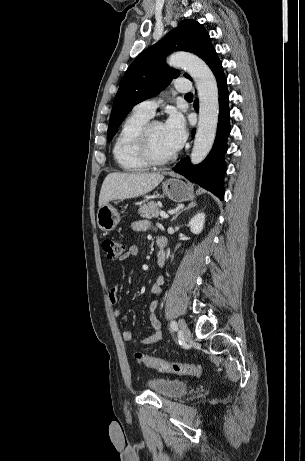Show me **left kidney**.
<instances>
[{
	"mask_svg": "<svg viewBox=\"0 0 305 461\" xmlns=\"http://www.w3.org/2000/svg\"><path fill=\"white\" fill-rule=\"evenodd\" d=\"M205 223V214L198 213L189 222V227L192 233L199 234L202 232Z\"/></svg>",
	"mask_w": 305,
	"mask_h": 461,
	"instance_id": "5707ae66",
	"label": "left kidney"
}]
</instances>
